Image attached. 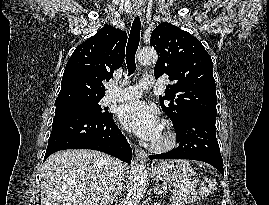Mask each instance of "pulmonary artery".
<instances>
[{"instance_id": "e3ab8cb5", "label": "pulmonary artery", "mask_w": 269, "mask_h": 205, "mask_svg": "<svg viewBox=\"0 0 269 205\" xmlns=\"http://www.w3.org/2000/svg\"><path fill=\"white\" fill-rule=\"evenodd\" d=\"M154 86V79L151 76L142 77L138 86L121 88L114 83L109 85V91L104 96L103 104L119 103L136 99L140 96L142 89H149Z\"/></svg>"}]
</instances>
